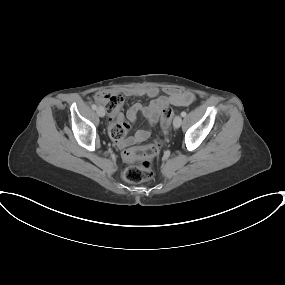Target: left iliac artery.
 <instances>
[{
  "label": "left iliac artery",
  "mask_w": 285,
  "mask_h": 285,
  "mask_svg": "<svg viewBox=\"0 0 285 285\" xmlns=\"http://www.w3.org/2000/svg\"><path fill=\"white\" fill-rule=\"evenodd\" d=\"M186 115H187V114H186L185 111L181 112V116H182V117H185Z\"/></svg>",
  "instance_id": "1"
}]
</instances>
